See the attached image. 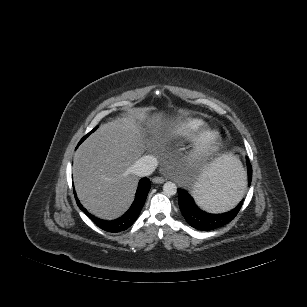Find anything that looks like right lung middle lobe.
<instances>
[{
    "label": "right lung middle lobe",
    "mask_w": 307,
    "mask_h": 307,
    "mask_svg": "<svg viewBox=\"0 0 307 307\" xmlns=\"http://www.w3.org/2000/svg\"><path fill=\"white\" fill-rule=\"evenodd\" d=\"M97 129V127H95L90 133H88L82 140H81V142L87 137V136H89L93 131H95Z\"/></svg>",
    "instance_id": "dd1d6c3e"
}]
</instances>
